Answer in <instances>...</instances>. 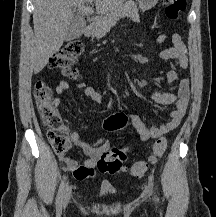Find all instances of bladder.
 I'll return each instance as SVG.
<instances>
[{
	"label": "bladder",
	"mask_w": 216,
	"mask_h": 217,
	"mask_svg": "<svg viewBox=\"0 0 216 217\" xmlns=\"http://www.w3.org/2000/svg\"><path fill=\"white\" fill-rule=\"evenodd\" d=\"M100 192H101V194H109V191L105 190V189H102Z\"/></svg>",
	"instance_id": "bladder-1"
}]
</instances>
